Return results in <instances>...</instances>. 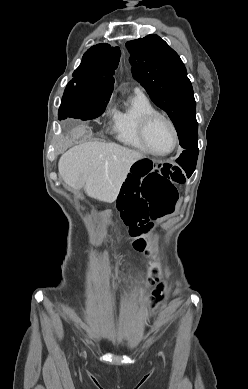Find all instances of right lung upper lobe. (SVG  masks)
<instances>
[{"label": "right lung upper lobe", "mask_w": 248, "mask_h": 389, "mask_svg": "<svg viewBox=\"0 0 248 389\" xmlns=\"http://www.w3.org/2000/svg\"><path fill=\"white\" fill-rule=\"evenodd\" d=\"M119 47L102 43L92 46L84 54L80 66L74 71L75 79H81L90 88L113 91L114 70L120 60Z\"/></svg>", "instance_id": "obj_1"}]
</instances>
